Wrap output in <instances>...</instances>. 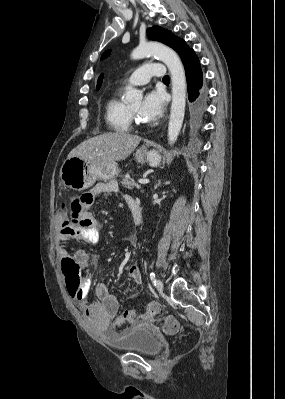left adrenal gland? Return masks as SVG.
<instances>
[{
    "mask_svg": "<svg viewBox=\"0 0 285 399\" xmlns=\"http://www.w3.org/2000/svg\"><path fill=\"white\" fill-rule=\"evenodd\" d=\"M160 184H161V181L159 180V181H158V184L156 185V187H159Z\"/></svg>",
    "mask_w": 285,
    "mask_h": 399,
    "instance_id": "left-adrenal-gland-1",
    "label": "left adrenal gland"
}]
</instances>
